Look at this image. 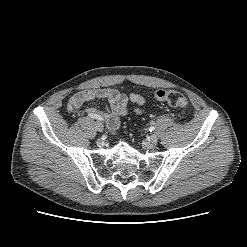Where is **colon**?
<instances>
[{
    "instance_id": "obj_1",
    "label": "colon",
    "mask_w": 247,
    "mask_h": 247,
    "mask_svg": "<svg viewBox=\"0 0 247 247\" xmlns=\"http://www.w3.org/2000/svg\"><path fill=\"white\" fill-rule=\"evenodd\" d=\"M154 97L157 101L174 108L185 109L188 106L186 97L175 90H157Z\"/></svg>"
}]
</instances>
